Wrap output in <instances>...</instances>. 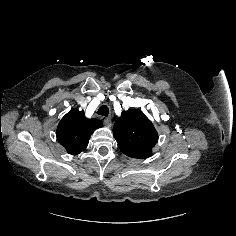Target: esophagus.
Returning a JSON list of instances; mask_svg holds the SVG:
<instances>
[{"label": "esophagus", "instance_id": "esophagus-1", "mask_svg": "<svg viewBox=\"0 0 236 236\" xmlns=\"http://www.w3.org/2000/svg\"><path fill=\"white\" fill-rule=\"evenodd\" d=\"M103 122L107 127H110L112 123L111 117H105Z\"/></svg>", "mask_w": 236, "mask_h": 236}]
</instances>
